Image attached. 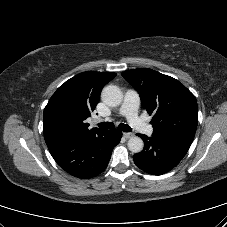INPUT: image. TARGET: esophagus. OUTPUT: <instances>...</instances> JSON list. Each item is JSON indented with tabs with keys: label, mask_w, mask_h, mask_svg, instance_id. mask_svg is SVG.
Here are the masks:
<instances>
[{
	"label": "esophagus",
	"mask_w": 227,
	"mask_h": 227,
	"mask_svg": "<svg viewBox=\"0 0 227 227\" xmlns=\"http://www.w3.org/2000/svg\"><path fill=\"white\" fill-rule=\"evenodd\" d=\"M123 136H124L126 139H129V138H131V137L134 136V133H132V132H124V133H123Z\"/></svg>",
	"instance_id": "obj_1"
}]
</instances>
